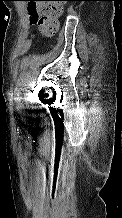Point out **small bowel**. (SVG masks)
Listing matches in <instances>:
<instances>
[{
	"mask_svg": "<svg viewBox=\"0 0 122 218\" xmlns=\"http://www.w3.org/2000/svg\"><path fill=\"white\" fill-rule=\"evenodd\" d=\"M35 8H36V10H37V12H41V4H36V6H35Z\"/></svg>",
	"mask_w": 122,
	"mask_h": 218,
	"instance_id": "obj_1",
	"label": "small bowel"
}]
</instances>
